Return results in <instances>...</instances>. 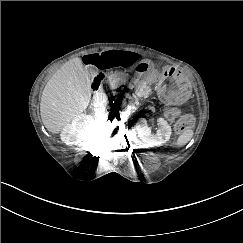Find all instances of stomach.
Returning a JSON list of instances; mask_svg holds the SVG:
<instances>
[{"instance_id":"stomach-1","label":"stomach","mask_w":243,"mask_h":243,"mask_svg":"<svg viewBox=\"0 0 243 243\" xmlns=\"http://www.w3.org/2000/svg\"><path fill=\"white\" fill-rule=\"evenodd\" d=\"M136 75L147 84H154L159 98L168 105H180L192 92L188 78L175 68L154 69L150 61H142L135 67Z\"/></svg>"}]
</instances>
